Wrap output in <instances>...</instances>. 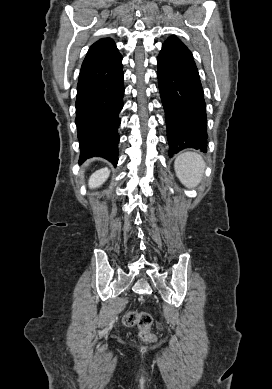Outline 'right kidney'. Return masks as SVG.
Segmentation results:
<instances>
[{"label": "right kidney", "instance_id": "right-kidney-1", "mask_svg": "<svg viewBox=\"0 0 272 389\" xmlns=\"http://www.w3.org/2000/svg\"><path fill=\"white\" fill-rule=\"evenodd\" d=\"M110 171L108 168H102L94 172L88 181V185L90 188H96L101 186L109 177Z\"/></svg>", "mask_w": 272, "mask_h": 389}]
</instances>
